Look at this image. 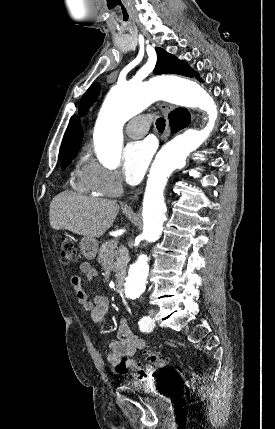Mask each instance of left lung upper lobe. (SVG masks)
Instances as JSON below:
<instances>
[{"instance_id": "left-lung-upper-lobe-1", "label": "left lung upper lobe", "mask_w": 275, "mask_h": 429, "mask_svg": "<svg viewBox=\"0 0 275 429\" xmlns=\"http://www.w3.org/2000/svg\"><path fill=\"white\" fill-rule=\"evenodd\" d=\"M157 63L154 68V74L174 73L188 77L196 76L195 73L185 61L179 60L172 54H169L162 48H156ZM99 93V85L97 83L90 86V88L83 95L79 109L83 114L89 105L95 100Z\"/></svg>"}]
</instances>
